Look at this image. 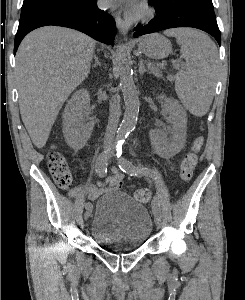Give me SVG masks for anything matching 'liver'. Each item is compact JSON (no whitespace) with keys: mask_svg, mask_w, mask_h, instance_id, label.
Wrapping results in <instances>:
<instances>
[{"mask_svg":"<svg viewBox=\"0 0 245 300\" xmlns=\"http://www.w3.org/2000/svg\"><path fill=\"white\" fill-rule=\"evenodd\" d=\"M95 41L78 31L46 26L29 33L16 54L22 121L37 148L45 146L69 95L87 77Z\"/></svg>","mask_w":245,"mask_h":300,"instance_id":"6515ba94","label":"liver"}]
</instances>
